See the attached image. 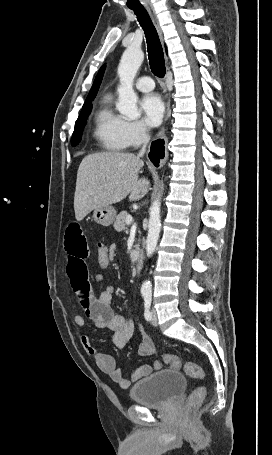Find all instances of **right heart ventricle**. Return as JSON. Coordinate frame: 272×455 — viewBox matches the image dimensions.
Segmentation results:
<instances>
[{
	"mask_svg": "<svg viewBox=\"0 0 272 455\" xmlns=\"http://www.w3.org/2000/svg\"><path fill=\"white\" fill-rule=\"evenodd\" d=\"M124 119L111 107V96L105 95L93 117V136L105 151L120 152L128 145L123 135Z\"/></svg>",
	"mask_w": 272,
	"mask_h": 455,
	"instance_id": "e07e8e85",
	"label": "right heart ventricle"
}]
</instances>
